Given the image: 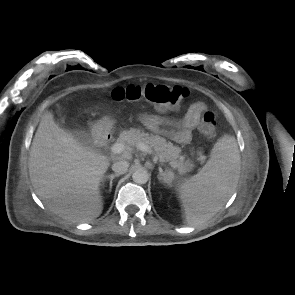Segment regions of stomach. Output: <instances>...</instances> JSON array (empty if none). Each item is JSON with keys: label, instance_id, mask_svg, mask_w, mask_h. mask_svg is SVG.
<instances>
[{"label": "stomach", "instance_id": "obj_1", "mask_svg": "<svg viewBox=\"0 0 295 295\" xmlns=\"http://www.w3.org/2000/svg\"><path fill=\"white\" fill-rule=\"evenodd\" d=\"M114 123H115V120L113 118L104 117L103 119L95 123L93 130L96 133H107L112 129Z\"/></svg>", "mask_w": 295, "mask_h": 295}]
</instances>
